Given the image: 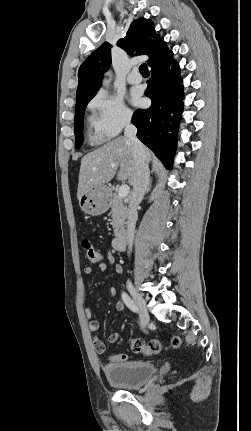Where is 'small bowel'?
<instances>
[{
	"label": "small bowel",
	"instance_id": "1",
	"mask_svg": "<svg viewBox=\"0 0 251 431\" xmlns=\"http://www.w3.org/2000/svg\"><path fill=\"white\" fill-rule=\"evenodd\" d=\"M106 258H107L108 262L111 265L115 266V270H116L117 273H122V267H121L120 264L117 263V261H116L115 257L113 256V254L107 253L106 254ZM98 268L101 271H103V272L108 270V266L104 262H100L98 264ZM83 272H84L85 275H90L93 272V268L91 266H85L84 269H83ZM115 308L119 312H123L124 311V305L121 302H117L116 305H115ZM85 317L88 320L90 331L93 332V333L97 332L99 330V328H100V323L95 318V315H94L93 311L90 310V309H86L85 310ZM120 338H121V333H119V332L111 333L107 337V342L110 343V344H112V343L117 342ZM93 344H94V348H95V350H96L97 353L104 354L106 352V349H107L106 343L100 337L95 336L93 338Z\"/></svg>",
	"mask_w": 251,
	"mask_h": 431
}]
</instances>
